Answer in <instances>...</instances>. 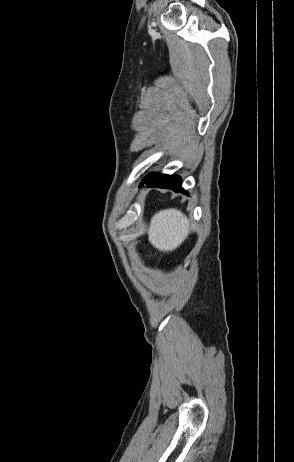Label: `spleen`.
Instances as JSON below:
<instances>
[{
    "label": "spleen",
    "mask_w": 294,
    "mask_h": 462,
    "mask_svg": "<svg viewBox=\"0 0 294 462\" xmlns=\"http://www.w3.org/2000/svg\"><path fill=\"white\" fill-rule=\"evenodd\" d=\"M189 220L177 209H166L151 219L148 238L161 251L177 248L188 236Z\"/></svg>",
    "instance_id": "spleen-1"
}]
</instances>
